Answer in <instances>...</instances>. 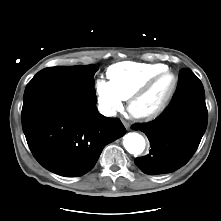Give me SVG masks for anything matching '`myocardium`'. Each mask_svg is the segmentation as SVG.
<instances>
[{"label": "myocardium", "mask_w": 221, "mask_h": 221, "mask_svg": "<svg viewBox=\"0 0 221 221\" xmlns=\"http://www.w3.org/2000/svg\"><path fill=\"white\" fill-rule=\"evenodd\" d=\"M165 76H171L172 77V84L163 99V101L160 103V105L150 111V112H137L135 109L136 104L143 99L157 84L160 80H162ZM178 84V78L177 75L171 71L170 69H164L154 75L151 79H149L139 90H137L134 94H132L129 99H128V111L130 115L138 120H152L155 119L156 117L160 116L167 106L169 105L175 90L177 88Z\"/></svg>", "instance_id": "myocardium-1"}]
</instances>
